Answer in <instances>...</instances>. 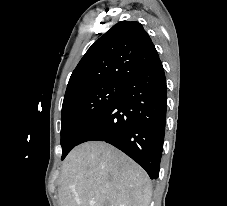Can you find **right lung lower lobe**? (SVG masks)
<instances>
[{"label": "right lung lower lobe", "mask_w": 227, "mask_h": 206, "mask_svg": "<svg viewBox=\"0 0 227 206\" xmlns=\"http://www.w3.org/2000/svg\"><path fill=\"white\" fill-rule=\"evenodd\" d=\"M123 83L121 95L85 132L79 144H112L156 179L166 120V78L160 59Z\"/></svg>", "instance_id": "right-lung-lower-lobe-1"}]
</instances>
